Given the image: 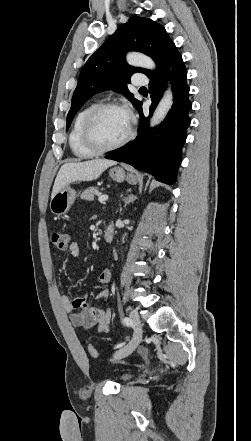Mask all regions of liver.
<instances>
[{
    "instance_id": "liver-1",
    "label": "liver",
    "mask_w": 251,
    "mask_h": 441,
    "mask_svg": "<svg viewBox=\"0 0 251 441\" xmlns=\"http://www.w3.org/2000/svg\"><path fill=\"white\" fill-rule=\"evenodd\" d=\"M116 162L106 159H93L84 162L65 163L61 166L52 189L51 198L73 182L97 179L108 167Z\"/></svg>"
}]
</instances>
